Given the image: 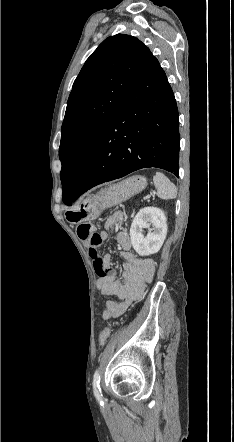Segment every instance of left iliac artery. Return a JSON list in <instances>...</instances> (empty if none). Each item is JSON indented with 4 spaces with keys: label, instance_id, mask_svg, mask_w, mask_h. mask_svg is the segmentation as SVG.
<instances>
[{
    "label": "left iliac artery",
    "instance_id": "1",
    "mask_svg": "<svg viewBox=\"0 0 234 442\" xmlns=\"http://www.w3.org/2000/svg\"><path fill=\"white\" fill-rule=\"evenodd\" d=\"M93 391H94V395L96 397V399L98 401H100L101 403H103L102 401V393H101V389H100V375H99V371L96 370L93 376Z\"/></svg>",
    "mask_w": 234,
    "mask_h": 442
}]
</instances>
